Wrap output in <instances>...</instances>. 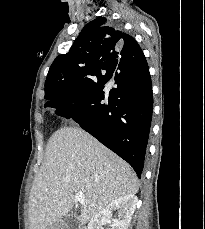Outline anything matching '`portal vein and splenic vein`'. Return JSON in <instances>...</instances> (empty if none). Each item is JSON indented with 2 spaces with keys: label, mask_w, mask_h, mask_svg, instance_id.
Returning <instances> with one entry per match:
<instances>
[{
  "label": "portal vein and splenic vein",
  "mask_w": 205,
  "mask_h": 229,
  "mask_svg": "<svg viewBox=\"0 0 205 229\" xmlns=\"http://www.w3.org/2000/svg\"><path fill=\"white\" fill-rule=\"evenodd\" d=\"M75 198L79 201V202H84V193L83 192H77L75 194Z\"/></svg>",
  "instance_id": "18ae733b"
}]
</instances>
